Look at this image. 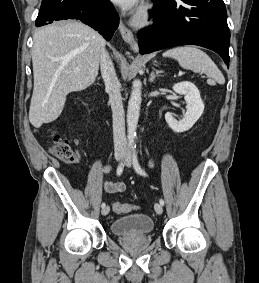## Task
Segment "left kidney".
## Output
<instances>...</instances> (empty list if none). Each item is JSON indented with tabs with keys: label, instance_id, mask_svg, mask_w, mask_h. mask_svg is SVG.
<instances>
[{
	"label": "left kidney",
	"instance_id": "left-kidney-1",
	"mask_svg": "<svg viewBox=\"0 0 259 283\" xmlns=\"http://www.w3.org/2000/svg\"><path fill=\"white\" fill-rule=\"evenodd\" d=\"M177 94L185 95L187 112L184 118L177 121L170 113L165 114V120L169 127L177 133L188 131L201 117L204 104L198 88L191 82L184 81L173 86Z\"/></svg>",
	"mask_w": 259,
	"mask_h": 283
}]
</instances>
